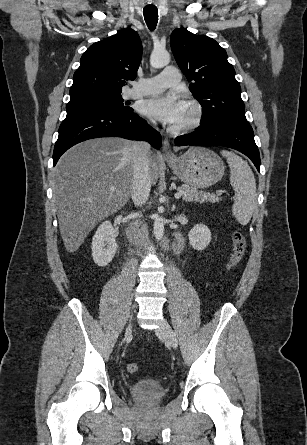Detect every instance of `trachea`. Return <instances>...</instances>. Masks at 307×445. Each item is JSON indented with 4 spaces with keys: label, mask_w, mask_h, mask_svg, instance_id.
<instances>
[{
    "label": "trachea",
    "mask_w": 307,
    "mask_h": 445,
    "mask_svg": "<svg viewBox=\"0 0 307 445\" xmlns=\"http://www.w3.org/2000/svg\"><path fill=\"white\" fill-rule=\"evenodd\" d=\"M144 19L150 30H154L158 21V10L155 6H146L143 10Z\"/></svg>",
    "instance_id": "1"
}]
</instances>
